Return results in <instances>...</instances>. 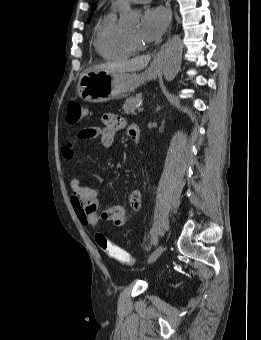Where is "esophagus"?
<instances>
[{"label":"esophagus","mask_w":261,"mask_h":340,"mask_svg":"<svg viewBox=\"0 0 261 340\" xmlns=\"http://www.w3.org/2000/svg\"><path fill=\"white\" fill-rule=\"evenodd\" d=\"M165 2V6L166 8L168 9L169 11V14H170V17L172 19V10H171V4H170V0H164ZM167 46V42L164 43L160 49L157 51V53L155 54L154 56V62H160L163 60V57H164V51H165V48Z\"/></svg>","instance_id":"obj_1"}]
</instances>
